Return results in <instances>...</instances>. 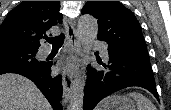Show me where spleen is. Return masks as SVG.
<instances>
[{
	"instance_id": "spleen-1",
	"label": "spleen",
	"mask_w": 171,
	"mask_h": 110,
	"mask_svg": "<svg viewBox=\"0 0 171 110\" xmlns=\"http://www.w3.org/2000/svg\"><path fill=\"white\" fill-rule=\"evenodd\" d=\"M137 103V110H156L155 105L146 96L138 92H132L128 94ZM109 109V101L105 100L97 107V110Z\"/></svg>"
}]
</instances>
